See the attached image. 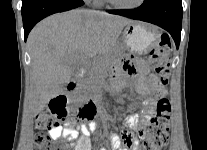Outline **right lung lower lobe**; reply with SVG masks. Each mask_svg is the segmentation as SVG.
<instances>
[{
	"mask_svg": "<svg viewBox=\"0 0 207 150\" xmlns=\"http://www.w3.org/2000/svg\"><path fill=\"white\" fill-rule=\"evenodd\" d=\"M83 5V0H22V19L25 41L31 29L41 19Z\"/></svg>",
	"mask_w": 207,
	"mask_h": 150,
	"instance_id": "obj_1",
	"label": "right lung lower lobe"
}]
</instances>
